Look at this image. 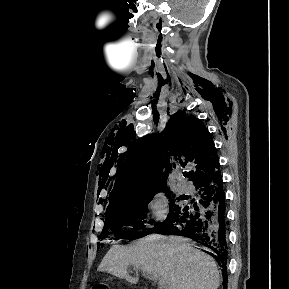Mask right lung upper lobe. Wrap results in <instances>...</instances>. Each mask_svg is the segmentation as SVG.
<instances>
[{
  "label": "right lung upper lobe",
  "instance_id": "right-lung-upper-lobe-1",
  "mask_svg": "<svg viewBox=\"0 0 289 289\" xmlns=\"http://www.w3.org/2000/svg\"><path fill=\"white\" fill-rule=\"evenodd\" d=\"M162 157L165 161L171 158V164L164 165ZM187 163L193 165L188 174L193 182L219 169L216 148L204 124L195 116L178 111L171 117L165 137L146 136L127 152L109 195V205L167 187L168 172L178 164Z\"/></svg>",
  "mask_w": 289,
  "mask_h": 289
}]
</instances>
